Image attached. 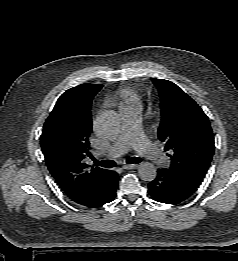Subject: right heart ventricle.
Wrapping results in <instances>:
<instances>
[{"instance_id":"e07e8e85","label":"right heart ventricle","mask_w":238,"mask_h":261,"mask_svg":"<svg viewBox=\"0 0 238 261\" xmlns=\"http://www.w3.org/2000/svg\"><path fill=\"white\" fill-rule=\"evenodd\" d=\"M110 102L116 105L121 113L129 110L141 111L142 108L140 95L135 89L128 86L118 88Z\"/></svg>"}]
</instances>
